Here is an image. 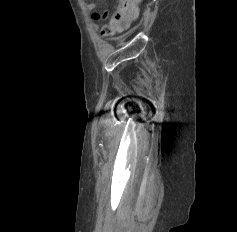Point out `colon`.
Instances as JSON below:
<instances>
[{"mask_svg":"<svg viewBox=\"0 0 237 232\" xmlns=\"http://www.w3.org/2000/svg\"><path fill=\"white\" fill-rule=\"evenodd\" d=\"M140 0H119L115 10L109 15L107 12L103 15H95V18H103L106 23L101 29L104 36H112L115 33L127 30L138 14V3Z\"/></svg>","mask_w":237,"mask_h":232,"instance_id":"obj_1","label":"colon"}]
</instances>
